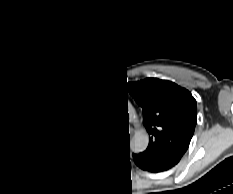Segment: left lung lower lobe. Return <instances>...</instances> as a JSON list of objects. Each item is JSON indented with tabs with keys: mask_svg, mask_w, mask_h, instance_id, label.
Returning a JSON list of instances; mask_svg holds the SVG:
<instances>
[{
	"mask_svg": "<svg viewBox=\"0 0 233 194\" xmlns=\"http://www.w3.org/2000/svg\"><path fill=\"white\" fill-rule=\"evenodd\" d=\"M137 166L152 172H161L176 165L180 159L165 156H154L145 152L133 154Z\"/></svg>",
	"mask_w": 233,
	"mask_h": 194,
	"instance_id": "1",
	"label": "left lung lower lobe"
}]
</instances>
